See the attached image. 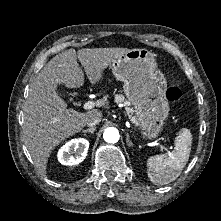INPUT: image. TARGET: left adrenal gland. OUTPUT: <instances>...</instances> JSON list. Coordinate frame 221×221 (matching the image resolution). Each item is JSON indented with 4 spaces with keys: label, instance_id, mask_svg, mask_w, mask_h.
<instances>
[{
    "label": "left adrenal gland",
    "instance_id": "a2214340",
    "mask_svg": "<svg viewBox=\"0 0 221 221\" xmlns=\"http://www.w3.org/2000/svg\"><path fill=\"white\" fill-rule=\"evenodd\" d=\"M126 136H127V137H126V143H127V145H128V146H132L133 143L130 141V136H129V134L127 133Z\"/></svg>",
    "mask_w": 221,
    "mask_h": 221
}]
</instances>
